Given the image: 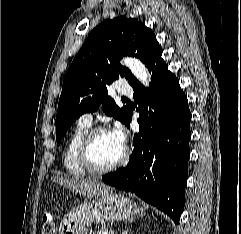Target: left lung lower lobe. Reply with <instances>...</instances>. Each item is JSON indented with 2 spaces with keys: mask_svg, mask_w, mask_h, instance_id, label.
<instances>
[{
  "mask_svg": "<svg viewBox=\"0 0 241 234\" xmlns=\"http://www.w3.org/2000/svg\"><path fill=\"white\" fill-rule=\"evenodd\" d=\"M161 55L160 49L147 62L152 80L149 88L137 80L130 84L138 105L140 128L133 138L130 160L102 180L138 195L178 224L185 205L191 113L179 80ZM131 119L132 112L127 127Z\"/></svg>",
  "mask_w": 241,
  "mask_h": 234,
  "instance_id": "0a47b994",
  "label": "left lung lower lobe"
}]
</instances>
